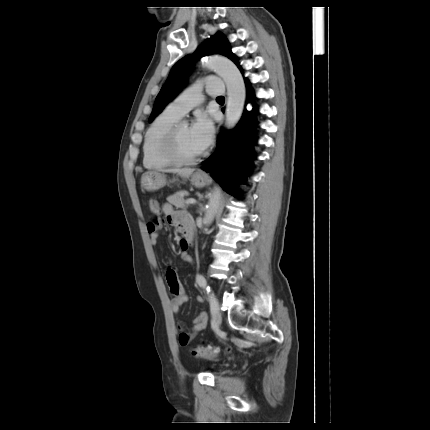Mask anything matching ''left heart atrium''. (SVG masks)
<instances>
[{
    "label": "left heart atrium",
    "mask_w": 430,
    "mask_h": 430,
    "mask_svg": "<svg viewBox=\"0 0 430 430\" xmlns=\"http://www.w3.org/2000/svg\"><path fill=\"white\" fill-rule=\"evenodd\" d=\"M190 132L194 144L202 152L212 142L214 128L211 119L206 114L198 115Z\"/></svg>",
    "instance_id": "1"
}]
</instances>
